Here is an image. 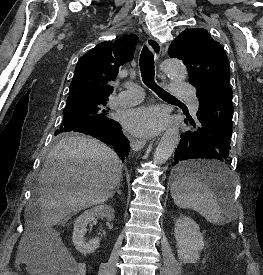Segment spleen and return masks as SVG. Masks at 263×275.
Wrapping results in <instances>:
<instances>
[{
    "label": "spleen",
    "instance_id": "obj_1",
    "mask_svg": "<svg viewBox=\"0 0 263 275\" xmlns=\"http://www.w3.org/2000/svg\"><path fill=\"white\" fill-rule=\"evenodd\" d=\"M197 166L206 169H215L223 173L221 181L224 192L221 198L204 183L193 178H179L171 185V196L174 203L183 209H193L200 213L208 222L214 225L229 223L233 216L234 198L230 191L231 178L229 169L217 162L203 161Z\"/></svg>",
    "mask_w": 263,
    "mask_h": 275
}]
</instances>
